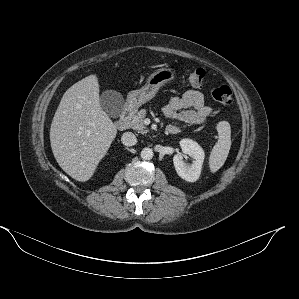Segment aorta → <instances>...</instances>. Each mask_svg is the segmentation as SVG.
Listing matches in <instances>:
<instances>
[{"mask_svg": "<svg viewBox=\"0 0 299 299\" xmlns=\"http://www.w3.org/2000/svg\"><path fill=\"white\" fill-rule=\"evenodd\" d=\"M140 155H141L142 159H144V160H150V159L153 158L154 153H153V150L151 148L146 147V148L142 149Z\"/></svg>", "mask_w": 299, "mask_h": 299, "instance_id": "obj_1", "label": "aorta"}]
</instances>
